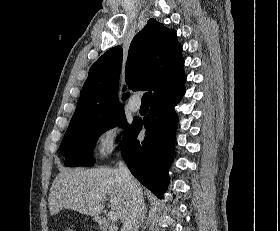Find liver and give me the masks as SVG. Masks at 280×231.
<instances>
[{
    "mask_svg": "<svg viewBox=\"0 0 280 231\" xmlns=\"http://www.w3.org/2000/svg\"><path fill=\"white\" fill-rule=\"evenodd\" d=\"M109 195L110 207L125 221L130 209V191L119 169L113 167H64L51 185L48 201L51 215L61 209L99 217Z\"/></svg>",
    "mask_w": 280,
    "mask_h": 231,
    "instance_id": "obj_1",
    "label": "liver"
}]
</instances>
